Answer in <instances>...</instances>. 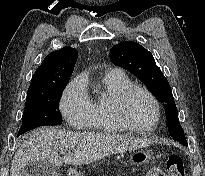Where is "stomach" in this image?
<instances>
[{
    "mask_svg": "<svg viewBox=\"0 0 205 176\" xmlns=\"http://www.w3.org/2000/svg\"><path fill=\"white\" fill-rule=\"evenodd\" d=\"M151 159V154L146 150H139L130 156V162L133 165L140 166L147 163Z\"/></svg>",
    "mask_w": 205,
    "mask_h": 176,
    "instance_id": "1",
    "label": "stomach"
}]
</instances>
